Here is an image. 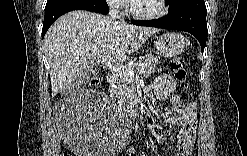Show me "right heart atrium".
Listing matches in <instances>:
<instances>
[{"label":"right heart atrium","mask_w":247,"mask_h":156,"mask_svg":"<svg viewBox=\"0 0 247 156\" xmlns=\"http://www.w3.org/2000/svg\"><path fill=\"white\" fill-rule=\"evenodd\" d=\"M108 3L113 9L117 11L123 10L125 6V1L123 0H110Z\"/></svg>","instance_id":"obj_1"}]
</instances>
